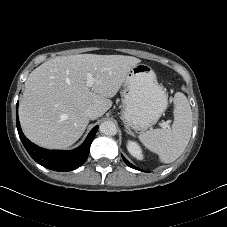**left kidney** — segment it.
<instances>
[{
	"instance_id": "5707ae66",
	"label": "left kidney",
	"mask_w": 227,
	"mask_h": 227,
	"mask_svg": "<svg viewBox=\"0 0 227 227\" xmlns=\"http://www.w3.org/2000/svg\"><path fill=\"white\" fill-rule=\"evenodd\" d=\"M127 149L129 151V153L139 159V160H142L143 159V155H142V151H141V148L140 146L134 142V141H128L127 143Z\"/></svg>"
}]
</instances>
